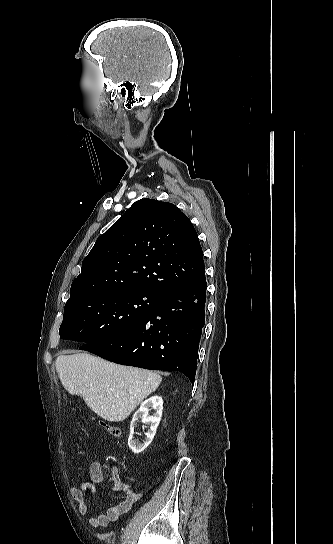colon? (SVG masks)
<instances>
[{"label":"colon","mask_w":333,"mask_h":544,"mask_svg":"<svg viewBox=\"0 0 333 544\" xmlns=\"http://www.w3.org/2000/svg\"><path fill=\"white\" fill-rule=\"evenodd\" d=\"M101 424L112 436H115V437L120 436L121 429L118 426L111 423H107V422H102Z\"/></svg>","instance_id":"5ec220e1"}]
</instances>
